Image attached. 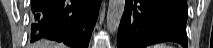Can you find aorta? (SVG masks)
Here are the masks:
<instances>
[{"mask_svg":"<svg viewBox=\"0 0 213 48\" xmlns=\"http://www.w3.org/2000/svg\"><path fill=\"white\" fill-rule=\"evenodd\" d=\"M125 8V0H109L107 10V29L111 34L118 31Z\"/></svg>","mask_w":213,"mask_h":48,"instance_id":"1","label":"aorta"}]
</instances>
